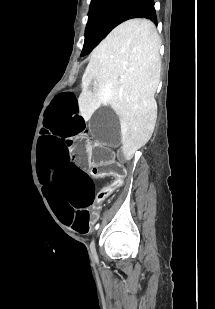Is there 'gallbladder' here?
<instances>
[{"label":"gallbladder","mask_w":215,"mask_h":309,"mask_svg":"<svg viewBox=\"0 0 215 309\" xmlns=\"http://www.w3.org/2000/svg\"><path fill=\"white\" fill-rule=\"evenodd\" d=\"M100 108L96 113H92L90 130L105 148H119L121 144L119 121L114 111L110 109L109 103H102Z\"/></svg>","instance_id":"bac80fb5"}]
</instances>
